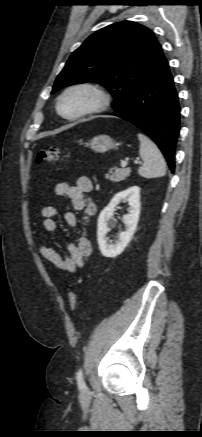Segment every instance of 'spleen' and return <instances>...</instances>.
Segmentation results:
<instances>
[{"label":"spleen","mask_w":202,"mask_h":437,"mask_svg":"<svg viewBox=\"0 0 202 437\" xmlns=\"http://www.w3.org/2000/svg\"><path fill=\"white\" fill-rule=\"evenodd\" d=\"M139 155L143 159V165L138 169L140 176L144 178H157L166 174V162L158 147L147 136L139 133Z\"/></svg>","instance_id":"3e777b00"}]
</instances>
